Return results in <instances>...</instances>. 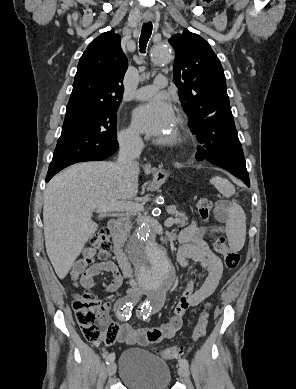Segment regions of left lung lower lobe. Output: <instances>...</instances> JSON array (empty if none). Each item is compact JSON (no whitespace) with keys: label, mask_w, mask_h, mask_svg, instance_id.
<instances>
[{"label":"left lung lower lobe","mask_w":296,"mask_h":389,"mask_svg":"<svg viewBox=\"0 0 296 389\" xmlns=\"http://www.w3.org/2000/svg\"><path fill=\"white\" fill-rule=\"evenodd\" d=\"M198 131L196 159L228 170L248 187L249 176L231 108L217 111L206 118Z\"/></svg>","instance_id":"0a47b994"}]
</instances>
